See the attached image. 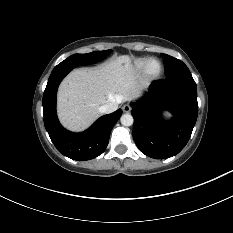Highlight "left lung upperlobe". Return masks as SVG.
<instances>
[{"mask_svg": "<svg viewBox=\"0 0 233 233\" xmlns=\"http://www.w3.org/2000/svg\"><path fill=\"white\" fill-rule=\"evenodd\" d=\"M161 56L165 64V74L167 78L192 76L187 66L181 60L166 54H161Z\"/></svg>", "mask_w": 233, "mask_h": 233, "instance_id": "obj_1", "label": "left lung upper lobe"}]
</instances>
